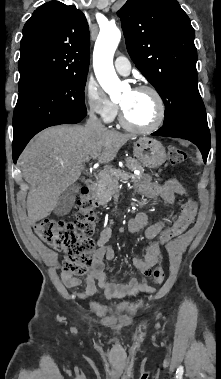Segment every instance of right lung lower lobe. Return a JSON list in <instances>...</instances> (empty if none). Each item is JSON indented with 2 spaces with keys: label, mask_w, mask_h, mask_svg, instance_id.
Masks as SVG:
<instances>
[{
  "label": "right lung lower lobe",
  "mask_w": 221,
  "mask_h": 379,
  "mask_svg": "<svg viewBox=\"0 0 221 379\" xmlns=\"http://www.w3.org/2000/svg\"><path fill=\"white\" fill-rule=\"evenodd\" d=\"M84 117H76V116H70L67 117L59 122V124H66V123H78L80 122ZM29 140L19 143H13L12 144V151H13V161L16 163L17 158L19 157L20 153L26 146Z\"/></svg>",
  "instance_id": "right-lung-lower-lobe-1"
}]
</instances>
